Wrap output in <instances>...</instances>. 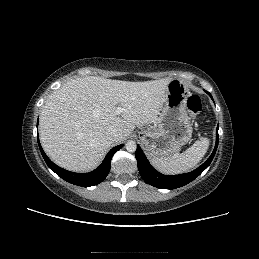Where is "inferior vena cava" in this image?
I'll list each match as a JSON object with an SVG mask.
<instances>
[{
  "instance_id": "inferior-vena-cava-1",
  "label": "inferior vena cava",
  "mask_w": 259,
  "mask_h": 259,
  "mask_svg": "<svg viewBox=\"0 0 259 259\" xmlns=\"http://www.w3.org/2000/svg\"><path fill=\"white\" fill-rule=\"evenodd\" d=\"M120 136V132L116 129H110L106 134L107 139L112 143L117 142L120 139Z\"/></svg>"
}]
</instances>
